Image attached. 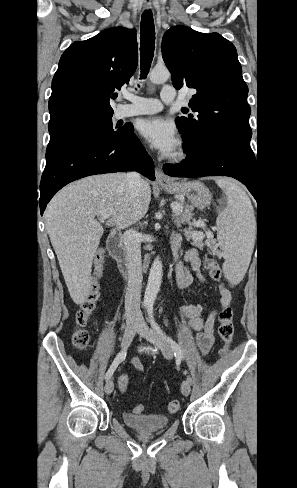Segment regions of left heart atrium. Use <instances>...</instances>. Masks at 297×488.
I'll return each instance as SVG.
<instances>
[{"label": "left heart atrium", "mask_w": 297, "mask_h": 488, "mask_svg": "<svg viewBox=\"0 0 297 488\" xmlns=\"http://www.w3.org/2000/svg\"><path fill=\"white\" fill-rule=\"evenodd\" d=\"M139 132L165 156L171 155L178 146L179 139L175 125L162 117L143 120Z\"/></svg>", "instance_id": "obj_1"}]
</instances>
